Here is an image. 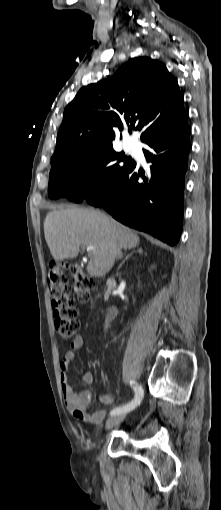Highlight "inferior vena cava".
Returning a JSON list of instances; mask_svg holds the SVG:
<instances>
[{
  "mask_svg": "<svg viewBox=\"0 0 221 510\" xmlns=\"http://www.w3.org/2000/svg\"><path fill=\"white\" fill-rule=\"evenodd\" d=\"M111 255L112 257L115 259V258H118V257H121V248L117 245H115L114 247H112L111 249Z\"/></svg>",
  "mask_w": 221,
  "mask_h": 510,
  "instance_id": "obj_1",
  "label": "inferior vena cava"
}]
</instances>
